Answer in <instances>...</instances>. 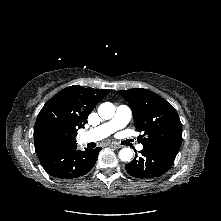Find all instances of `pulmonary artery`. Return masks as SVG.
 <instances>
[{
  "label": "pulmonary artery",
  "instance_id": "pulmonary-artery-1",
  "mask_svg": "<svg viewBox=\"0 0 221 221\" xmlns=\"http://www.w3.org/2000/svg\"><path fill=\"white\" fill-rule=\"evenodd\" d=\"M132 118V111L126 105L117 107L114 117L106 123L92 128L81 135V141L84 143L96 142L105 139L113 132L124 128ZM138 150H142L141 144L137 145Z\"/></svg>",
  "mask_w": 221,
  "mask_h": 221
}]
</instances>
